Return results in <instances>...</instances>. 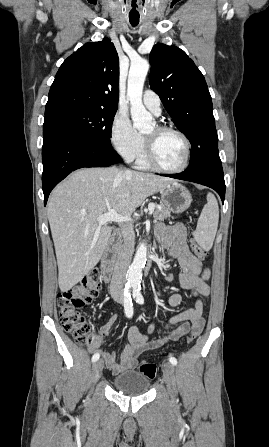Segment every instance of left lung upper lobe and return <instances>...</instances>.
<instances>
[{"label": "left lung upper lobe", "mask_w": 269, "mask_h": 447, "mask_svg": "<svg viewBox=\"0 0 269 447\" xmlns=\"http://www.w3.org/2000/svg\"><path fill=\"white\" fill-rule=\"evenodd\" d=\"M151 88L191 143L186 173L220 166L213 105L204 76L184 51L162 43L150 53Z\"/></svg>", "instance_id": "5c2ea615"}]
</instances>
